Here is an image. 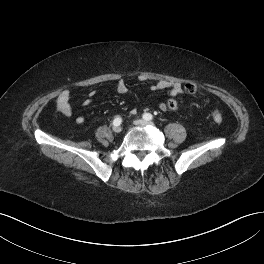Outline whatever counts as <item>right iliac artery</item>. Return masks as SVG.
<instances>
[{
	"label": "right iliac artery",
	"mask_w": 264,
	"mask_h": 264,
	"mask_svg": "<svg viewBox=\"0 0 264 264\" xmlns=\"http://www.w3.org/2000/svg\"><path fill=\"white\" fill-rule=\"evenodd\" d=\"M121 122H122V119L119 118V117H117V118H115V119L113 120V125H114V126H119V125L121 124Z\"/></svg>",
	"instance_id": "obj_1"
}]
</instances>
